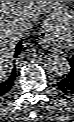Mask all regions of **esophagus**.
Segmentation results:
<instances>
[{"instance_id":"34e87169","label":"esophagus","mask_w":74,"mask_h":122,"mask_svg":"<svg viewBox=\"0 0 74 122\" xmlns=\"http://www.w3.org/2000/svg\"><path fill=\"white\" fill-rule=\"evenodd\" d=\"M47 27H48V25L47 24H44L43 29H42V33H45L46 32Z\"/></svg>"}]
</instances>
